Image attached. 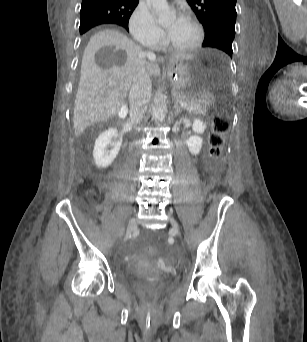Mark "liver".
I'll list each match as a JSON object with an SVG mask.
<instances>
[{
	"label": "liver",
	"instance_id": "6515ba94",
	"mask_svg": "<svg viewBox=\"0 0 307 342\" xmlns=\"http://www.w3.org/2000/svg\"><path fill=\"white\" fill-rule=\"evenodd\" d=\"M145 58L142 48L118 30H102L90 38L84 50L74 102L76 138L91 124L117 116L139 72L145 70L148 76H160L158 64L154 60L146 62ZM186 58L190 56L178 54L170 62ZM108 82H115L116 86L111 88Z\"/></svg>",
	"mask_w": 307,
	"mask_h": 342
}]
</instances>
